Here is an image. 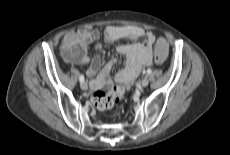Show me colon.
Wrapping results in <instances>:
<instances>
[{
  "instance_id": "1",
  "label": "colon",
  "mask_w": 230,
  "mask_h": 155,
  "mask_svg": "<svg viewBox=\"0 0 230 155\" xmlns=\"http://www.w3.org/2000/svg\"><path fill=\"white\" fill-rule=\"evenodd\" d=\"M73 49L74 54H79L81 48L79 45V40L76 37H70L67 42V50ZM168 54V44L165 39L159 38L155 46V61L157 63H163L167 58ZM124 95V91L121 87L115 88L114 90L105 92H95L93 95V103L96 108L100 111L111 109L116 102H118Z\"/></svg>"
}]
</instances>
